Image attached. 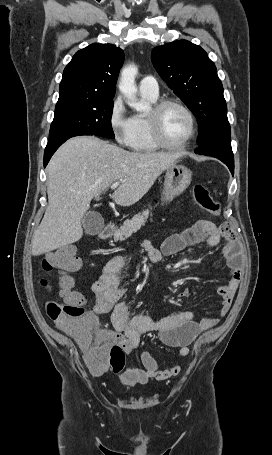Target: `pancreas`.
Masks as SVG:
<instances>
[{
    "instance_id": "cf45deb5",
    "label": "pancreas",
    "mask_w": 272,
    "mask_h": 455,
    "mask_svg": "<svg viewBox=\"0 0 272 455\" xmlns=\"http://www.w3.org/2000/svg\"><path fill=\"white\" fill-rule=\"evenodd\" d=\"M149 216V210L136 214L131 220H126L114 234V240L123 241L137 232L145 224Z\"/></svg>"
}]
</instances>
